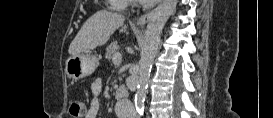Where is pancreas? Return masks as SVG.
Here are the masks:
<instances>
[{
  "instance_id": "1",
  "label": "pancreas",
  "mask_w": 273,
  "mask_h": 118,
  "mask_svg": "<svg viewBox=\"0 0 273 118\" xmlns=\"http://www.w3.org/2000/svg\"><path fill=\"white\" fill-rule=\"evenodd\" d=\"M118 51V44L117 42H112L107 48H106V58L111 59L115 53Z\"/></svg>"
}]
</instances>
